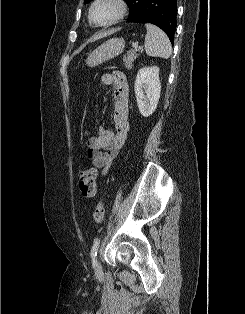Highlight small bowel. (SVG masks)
Returning <instances> with one entry per match:
<instances>
[{
  "mask_svg": "<svg viewBox=\"0 0 245 314\" xmlns=\"http://www.w3.org/2000/svg\"><path fill=\"white\" fill-rule=\"evenodd\" d=\"M101 83L114 87V130L101 126L96 136L88 135L86 155L91 164L100 170L101 176H105L123 148L130 130L129 89L120 71L103 74Z\"/></svg>",
  "mask_w": 245,
  "mask_h": 314,
  "instance_id": "obj_1",
  "label": "small bowel"
}]
</instances>
